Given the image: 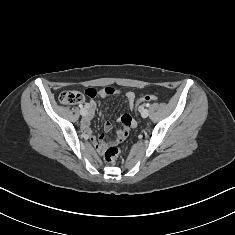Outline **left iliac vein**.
<instances>
[{"instance_id":"4c4485c4","label":"left iliac vein","mask_w":235,"mask_h":235,"mask_svg":"<svg viewBox=\"0 0 235 235\" xmlns=\"http://www.w3.org/2000/svg\"><path fill=\"white\" fill-rule=\"evenodd\" d=\"M148 115H149L148 109L143 108L142 111H141V116H142L143 118H146V117H148Z\"/></svg>"}]
</instances>
